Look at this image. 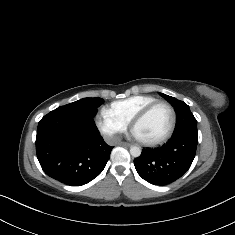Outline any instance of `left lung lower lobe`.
I'll return each instance as SVG.
<instances>
[{
  "label": "left lung lower lobe",
  "instance_id": "1",
  "mask_svg": "<svg viewBox=\"0 0 235 235\" xmlns=\"http://www.w3.org/2000/svg\"><path fill=\"white\" fill-rule=\"evenodd\" d=\"M198 135H173L162 147L143 149L134 160L136 171L144 180L155 185H167L183 176L195 157Z\"/></svg>",
  "mask_w": 235,
  "mask_h": 235
}]
</instances>
